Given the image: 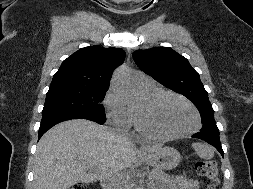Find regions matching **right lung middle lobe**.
<instances>
[{
  "label": "right lung middle lobe",
  "mask_w": 253,
  "mask_h": 189,
  "mask_svg": "<svg viewBox=\"0 0 253 189\" xmlns=\"http://www.w3.org/2000/svg\"><path fill=\"white\" fill-rule=\"evenodd\" d=\"M109 87L64 86L50 88L42 115L73 114L106 120L101 104Z\"/></svg>",
  "instance_id": "dd1d6c3e"
}]
</instances>
